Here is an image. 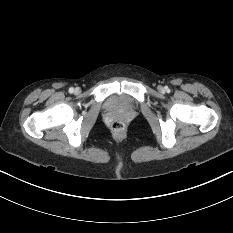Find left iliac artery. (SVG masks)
<instances>
[{
    "label": "left iliac artery",
    "mask_w": 233,
    "mask_h": 233,
    "mask_svg": "<svg viewBox=\"0 0 233 233\" xmlns=\"http://www.w3.org/2000/svg\"><path fill=\"white\" fill-rule=\"evenodd\" d=\"M167 91H169L168 87H166Z\"/></svg>",
    "instance_id": "44dca946"
}]
</instances>
